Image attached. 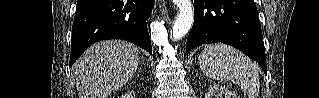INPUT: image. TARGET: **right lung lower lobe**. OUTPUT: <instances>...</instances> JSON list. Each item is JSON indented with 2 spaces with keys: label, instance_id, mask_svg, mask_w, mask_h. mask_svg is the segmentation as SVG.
Here are the masks:
<instances>
[{
  "label": "right lung lower lobe",
  "instance_id": "obj_1",
  "mask_svg": "<svg viewBox=\"0 0 319 98\" xmlns=\"http://www.w3.org/2000/svg\"><path fill=\"white\" fill-rule=\"evenodd\" d=\"M154 0H78L72 27L70 66L93 43L132 42L152 54L147 21Z\"/></svg>",
  "mask_w": 319,
  "mask_h": 98
}]
</instances>
